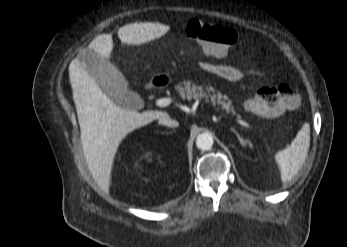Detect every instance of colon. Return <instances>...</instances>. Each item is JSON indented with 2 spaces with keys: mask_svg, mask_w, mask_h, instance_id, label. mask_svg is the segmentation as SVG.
I'll list each match as a JSON object with an SVG mask.
<instances>
[{
  "mask_svg": "<svg viewBox=\"0 0 347 247\" xmlns=\"http://www.w3.org/2000/svg\"><path fill=\"white\" fill-rule=\"evenodd\" d=\"M186 29L188 36L195 40L206 54L218 59L224 58L229 47L237 40L235 30L220 24L191 20ZM247 103L252 111L276 117L295 109L299 99L296 90L283 83L276 87L260 88Z\"/></svg>",
  "mask_w": 347,
  "mask_h": 247,
  "instance_id": "5ec220e1",
  "label": "colon"
}]
</instances>
